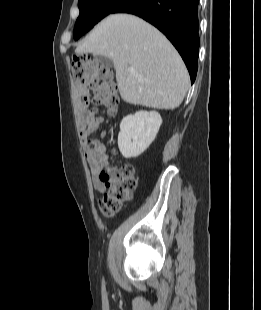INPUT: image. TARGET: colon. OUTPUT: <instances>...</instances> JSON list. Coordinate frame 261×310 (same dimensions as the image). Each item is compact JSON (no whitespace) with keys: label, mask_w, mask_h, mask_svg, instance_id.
<instances>
[{"label":"colon","mask_w":261,"mask_h":310,"mask_svg":"<svg viewBox=\"0 0 261 310\" xmlns=\"http://www.w3.org/2000/svg\"><path fill=\"white\" fill-rule=\"evenodd\" d=\"M72 75L77 84L88 86L94 91L93 104L102 105L109 114H114L118 108L119 98L117 87L113 82L112 71L91 55L76 54L72 59ZM100 179L106 187V192L100 202V209L104 216L112 217L119 213L131 199L136 188L134 167L129 163L120 166H108Z\"/></svg>","instance_id":"1"}]
</instances>
